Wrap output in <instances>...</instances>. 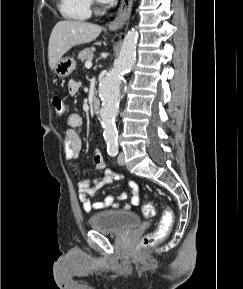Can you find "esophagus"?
I'll return each instance as SVG.
<instances>
[{
    "label": "esophagus",
    "instance_id": "34e87169",
    "mask_svg": "<svg viewBox=\"0 0 243 289\" xmlns=\"http://www.w3.org/2000/svg\"><path fill=\"white\" fill-rule=\"evenodd\" d=\"M132 0H121L115 18L108 25L110 31L118 30L130 17L132 10Z\"/></svg>",
    "mask_w": 243,
    "mask_h": 289
}]
</instances>
